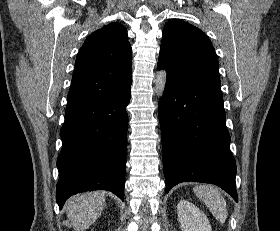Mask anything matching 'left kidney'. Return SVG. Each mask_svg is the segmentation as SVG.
<instances>
[{"label":"left kidney","instance_id":"obj_1","mask_svg":"<svg viewBox=\"0 0 280 231\" xmlns=\"http://www.w3.org/2000/svg\"><path fill=\"white\" fill-rule=\"evenodd\" d=\"M178 221L182 231H212L205 213L187 199H180L177 205Z\"/></svg>","mask_w":280,"mask_h":231}]
</instances>
